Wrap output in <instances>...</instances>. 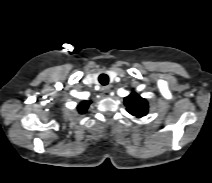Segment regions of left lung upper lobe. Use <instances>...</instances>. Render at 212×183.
Wrapping results in <instances>:
<instances>
[{"label":"left lung upper lobe","instance_id":"5c2ea615","mask_svg":"<svg viewBox=\"0 0 212 183\" xmlns=\"http://www.w3.org/2000/svg\"><path fill=\"white\" fill-rule=\"evenodd\" d=\"M124 103L127 106V111L140 118L148 113V102L146 99L140 97L137 93L132 92L125 97Z\"/></svg>","mask_w":212,"mask_h":183}]
</instances>
